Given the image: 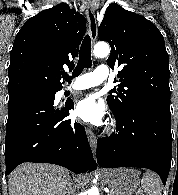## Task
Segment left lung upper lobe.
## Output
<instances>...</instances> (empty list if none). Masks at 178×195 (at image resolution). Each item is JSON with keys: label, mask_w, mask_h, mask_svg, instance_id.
I'll use <instances>...</instances> for the list:
<instances>
[{"label": "left lung upper lobe", "mask_w": 178, "mask_h": 195, "mask_svg": "<svg viewBox=\"0 0 178 195\" xmlns=\"http://www.w3.org/2000/svg\"><path fill=\"white\" fill-rule=\"evenodd\" d=\"M98 36L111 46L107 64L121 68L115 80L120 84L107 97L113 114L146 109L171 116L169 56L157 27L113 3L105 11Z\"/></svg>", "instance_id": "1"}]
</instances>
